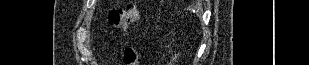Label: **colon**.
<instances>
[{"label": "colon", "instance_id": "colon-1", "mask_svg": "<svg viewBox=\"0 0 309 65\" xmlns=\"http://www.w3.org/2000/svg\"><path fill=\"white\" fill-rule=\"evenodd\" d=\"M140 17V12L135 3H130L124 9H112L107 16V22L113 28H125ZM139 53L133 46L125 48L123 53V63L125 65H138Z\"/></svg>", "mask_w": 309, "mask_h": 65}]
</instances>
